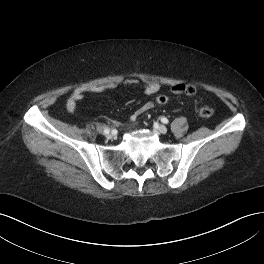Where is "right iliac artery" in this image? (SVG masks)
<instances>
[{
    "label": "right iliac artery",
    "mask_w": 264,
    "mask_h": 264,
    "mask_svg": "<svg viewBox=\"0 0 264 264\" xmlns=\"http://www.w3.org/2000/svg\"><path fill=\"white\" fill-rule=\"evenodd\" d=\"M109 129L108 128H104V130H103V132L105 133V134H108L109 133Z\"/></svg>",
    "instance_id": "obj_1"
}]
</instances>
